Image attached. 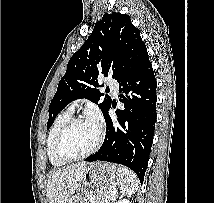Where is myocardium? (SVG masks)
Returning a JSON list of instances; mask_svg holds the SVG:
<instances>
[{"label":"myocardium","instance_id":"f54148a6","mask_svg":"<svg viewBox=\"0 0 214 203\" xmlns=\"http://www.w3.org/2000/svg\"><path fill=\"white\" fill-rule=\"evenodd\" d=\"M87 120L85 117H72L59 131L56 141H55V152L57 154V156L66 162H75V161H79V160H83L89 156H91L92 154H94L98 148L101 146L103 139H104V131L103 128L100 125L98 126V137L97 140L95 142V144L92 146V148L90 150H88L87 152L79 155V156H75V157H69L67 155L64 154L63 149H62V145H63V141L64 138L66 136V134L68 133V131L77 123L82 122Z\"/></svg>","mask_w":214,"mask_h":203}]
</instances>
